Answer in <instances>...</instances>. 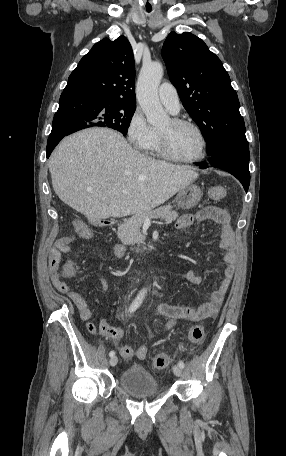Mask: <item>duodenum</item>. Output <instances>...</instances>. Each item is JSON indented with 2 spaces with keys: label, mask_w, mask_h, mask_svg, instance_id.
I'll list each match as a JSON object with an SVG mask.
<instances>
[{
  "label": "duodenum",
  "mask_w": 286,
  "mask_h": 456,
  "mask_svg": "<svg viewBox=\"0 0 286 456\" xmlns=\"http://www.w3.org/2000/svg\"><path fill=\"white\" fill-rule=\"evenodd\" d=\"M97 220L101 226H108L110 223V222H106V219H104V218H98ZM157 248H158V245H156V244H143L140 246H134V250L137 253H141V254L150 252L152 250H156Z\"/></svg>",
  "instance_id": "duodenum-1"
}]
</instances>
